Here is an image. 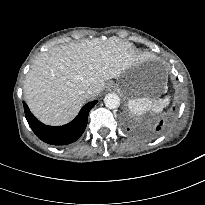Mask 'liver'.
Masks as SVG:
<instances>
[{
	"instance_id": "liver-1",
	"label": "liver",
	"mask_w": 205,
	"mask_h": 205,
	"mask_svg": "<svg viewBox=\"0 0 205 205\" xmlns=\"http://www.w3.org/2000/svg\"><path fill=\"white\" fill-rule=\"evenodd\" d=\"M140 60L134 46L117 37L52 47L31 65L24 83L25 100L43 123L66 124L87 100L100 94L106 81L119 77Z\"/></svg>"
}]
</instances>
